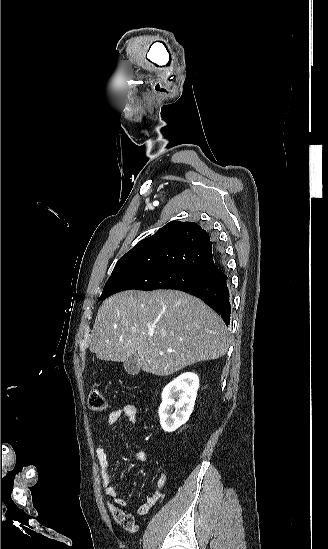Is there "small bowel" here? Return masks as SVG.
<instances>
[{
  "label": "small bowel",
  "mask_w": 328,
  "mask_h": 549,
  "mask_svg": "<svg viewBox=\"0 0 328 549\" xmlns=\"http://www.w3.org/2000/svg\"><path fill=\"white\" fill-rule=\"evenodd\" d=\"M122 419H126L132 424L137 422V407L132 404H127L122 408L112 411L107 418L108 425L111 426ZM96 457L99 464L102 486L105 489L106 495L112 499V502L117 506H126L127 502L119 496L117 488L111 482L110 464L103 443L96 449ZM147 457L146 451L141 449L133 454V459L136 461H144ZM167 476L165 473H160L156 480L155 492L147 497L145 503L140 506L139 513L146 514L151 507L156 505L163 497L162 488L165 485Z\"/></svg>",
  "instance_id": "small-bowel-1"
}]
</instances>
